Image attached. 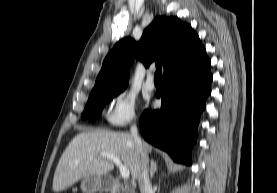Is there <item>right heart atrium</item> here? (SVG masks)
<instances>
[{
  "instance_id": "1",
  "label": "right heart atrium",
  "mask_w": 277,
  "mask_h": 193,
  "mask_svg": "<svg viewBox=\"0 0 277 193\" xmlns=\"http://www.w3.org/2000/svg\"><path fill=\"white\" fill-rule=\"evenodd\" d=\"M136 99L128 90H120L111 98L105 122L111 127H122L136 119Z\"/></svg>"
}]
</instances>
